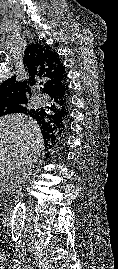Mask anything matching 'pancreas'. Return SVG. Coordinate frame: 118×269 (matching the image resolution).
Segmentation results:
<instances>
[{"label":"pancreas","mask_w":118,"mask_h":269,"mask_svg":"<svg viewBox=\"0 0 118 269\" xmlns=\"http://www.w3.org/2000/svg\"><path fill=\"white\" fill-rule=\"evenodd\" d=\"M13 190V183L9 182L8 179L4 178L3 180L0 179V191H4V192H10ZM5 207H7V205L5 204Z\"/></svg>","instance_id":"cf45deb5"}]
</instances>
